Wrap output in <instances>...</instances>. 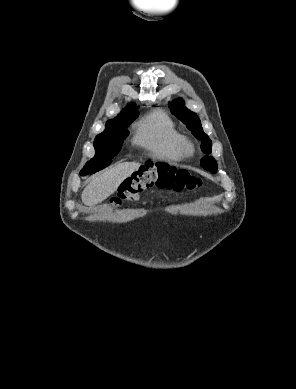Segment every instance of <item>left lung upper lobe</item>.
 <instances>
[{"label":"left lung upper lobe","instance_id":"1","mask_svg":"<svg viewBox=\"0 0 296 389\" xmlns=\"http://www.w3.org/2000/svg\"><path fill=\"white\" fill-rule=\"evenodd\" d=\"M169 108L171 109L172 114H174L184 124H186L187 128L192 132V134L197 139L202 141V151L206 154L211 153V140L207 134L204 133L198 116L184 106V101L182 99L170 102ZM201 166L211 173H216L217 171L216 161L210 156H205L202 159Z\"/></svg>","mask_w":296,"mask_h":389}]
</instances>
